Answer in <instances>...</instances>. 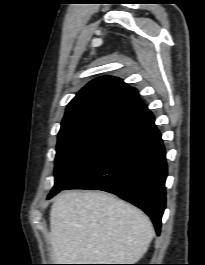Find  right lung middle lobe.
Returning a JSON list of instances; mask_svg holds the SVG:
<instances>
[{
    "instance_id": "right-lung-middle-lobe-1",
    "label": "right lung middle lobe",
    "mask_w": 205,
    "mask_h": 265,
    "mask_svg": "<svg viewBox=\"0 0 205 265\" xmlns=\"http://www.w3.org/2000/svg\"><path fill=\"white\" fill-rule=\"evenodd\" d=\"M125 127L118 124H96L59 134L55 185L50 194L58 193L66 187Z\"/></svg>"
}]
</instances>
